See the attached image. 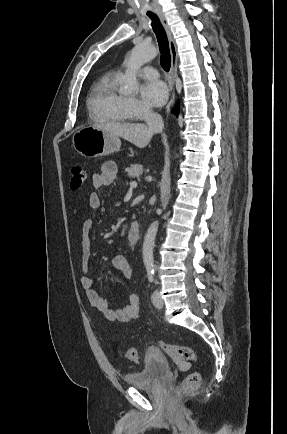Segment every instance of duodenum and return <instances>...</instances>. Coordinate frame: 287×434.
Wrapping results in <instances>:
<instances>
[{
    "label": "duodenum",
    "mask_w": 287,
    "mask_h": 434,
    "mask_svg": "<svg viewBox=\"0 0 287 434\" xmlns=\"http://www.w3.org/2000/svg\"><path fill=\"white\" fill-rule=\"evenodd\" d=\"M139 237H140V227L138 223L133 222L131 223L127 231L128 241L130 242V244L135 245L138 242Z\"/></svg>",
    "instance_id": "duodenum-1"
}]
</instances>
